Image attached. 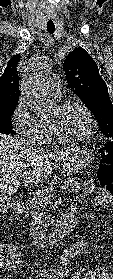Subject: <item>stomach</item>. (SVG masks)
I'll use <instances>...</instances> for the list:
<instances>
[{"instance_id":"1","label":"stomach","mask_w":113,"mask_h":279,"mask_svg":"<svg viewBox=\"0 0 113 279\" xmlns=\"http://www.w3.org/2000/svg\"><path fill=\"white\" fill-rule=\"evenodd\" d=\"M94 151L86 146L72 149L69 157L64 161L63 168L68 174H75L93 163Z\"/></svg>"}]
</instances>
